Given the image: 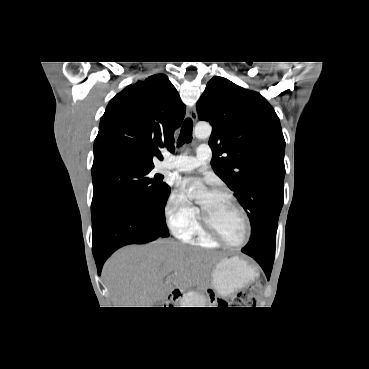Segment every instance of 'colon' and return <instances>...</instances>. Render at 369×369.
Listing matches in <instances>:
<instances>
[{
    "label": "colon",
    "instance_id": "obj_1",
    "mask_svg": "<svg viewBox=\"0 0 369 369\" xmlns=\"http://www.w3.org/2000/svg\"><path fill=\"white\" fill-rule=\"evenodd\" d=\"M262 282H257L247 290L241 291L237 294L236 298L232 302L220 301L222 306H236V307H253L257 303V296L262 290Z\"/></svg>",
    "mask_w": 369,
    "mask_h": 369
}]
</instances>
